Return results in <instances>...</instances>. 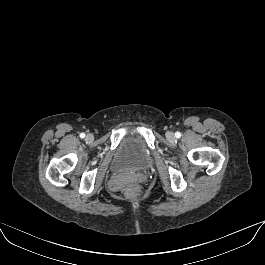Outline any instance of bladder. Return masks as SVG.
<instances>
[{
  "label": "bladder",
  "instance_id": "bladder-1",
  "mask_svg": "<svg viewBox=\"0 0 265 265\" xmlns=\"http://www.w3.org/2000/svg\"><path fill=\"white\" fill-rule=\"evenodd\" d=\"M151 160V151L145 141L141 137L130 135L120 142L111 167L115 172L144 169L150 165Z\"/></svg>",
  "mask_w": 265,
  "mask_h": 265
}]
</instances>
